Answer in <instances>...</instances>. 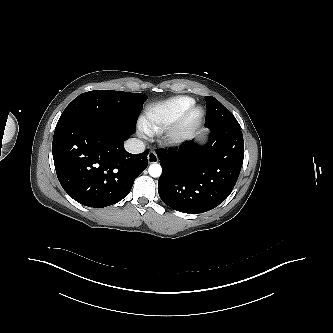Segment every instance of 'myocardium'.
<instances>
[{
	"mask_svg": "<svg viewBox=\"0 0 333 333\" xmlns=\"http://www.w3.org/2000/svg\"><path fill=\"white\" fill-rule=\"evenodd\" d=\"M204 118V108L196 104L191 105L167 132L164 138L165 143L170 146L184 143L199 128Z\"/></svg>",
	"mask_w": 333,
	"mask_h": 333,
	"instance_id": "obj_1",
	"label": "myocardium"
}]
</instances>
